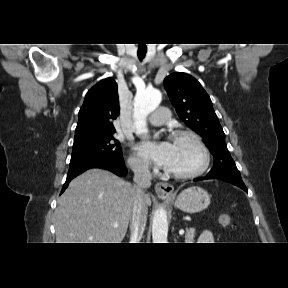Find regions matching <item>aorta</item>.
Masks as SVG:
<instances>
[{
  "label": "aorta",
  "mask_w": 288,
  "mask_h": 288,
  "mask_svg": "<svg viewBox=\"0 0 288 288\" xmlns=\"http://www.w3.org/2000/svg\"><path fill=\"white\" fill-rule=\"evenodd\" d=\"M162 95L156 89L143 90L137 92L134 98L133 119L136 133L147 135L146 124L147 116L153 112L160 104ZM168 220L167 213L163 208L158 209L152 221V240L153 243H167Z\"/></svg>",
  "instance_id": "obj_1"
}]
</instances>
